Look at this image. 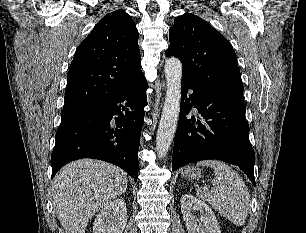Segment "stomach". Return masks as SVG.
Masks as SVG:
<instances>
[{"instance_id":"1","label":"stomach","mask_w":306,"mask_h":233,"mask_svg":"<svg viewBox=\"0 0 306 233\" xmlns=\"http://www.w3.org/2000/svg\"><path fill=\"white\" fill-rule=\"evenodd\" d=\"M182 176L189 179V180H196L201 178V170L193 167V166H187L182 170Z\"/></svg>"}]
</instances>
